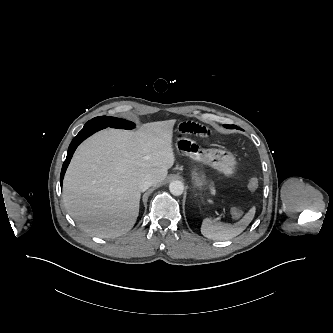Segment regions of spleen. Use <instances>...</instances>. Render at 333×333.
Returning a JSON list of instances; mask_svg holds the SVG:
<instances>
[{"label": "spleen", "instance_id": "3e777b00", "mask_svg": "<svg viewBox=\"0 0 333 333\" xmlns=\"http://www.w3.org/2000/svg\"><path fill=\"white\" fill-rule=\"evenodd\" d=\"M235 208L232 209V214H236ZM255 215V207H252L244 217L234 225L215 222L209 218L203 220L201 225V233L204 237L212 240H228L241 234L253 220Z\"/></svg>", "mask_w": 333, "mask_h": 333}]
</instances>
